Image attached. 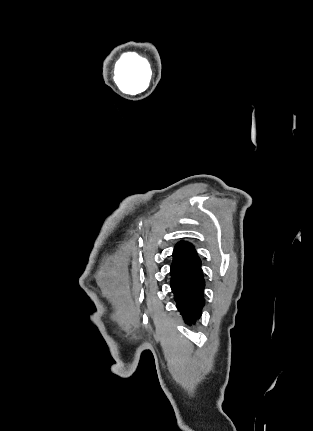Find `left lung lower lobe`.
<instances>
[{
  "label": "left lung lower lobe",
  "mask_w": 313,
  "mask_h": 431,
  "mask_svg": "<svg viewBox=\"0 0 313 431\" xmlns=\"http://www.w3.org/2000/svg\"><path fill=\"white\" fill-rule=\"evenodd\" d=\"M170 270V285L176 306L187 324H195L201 317L205 305L203 293L205 280L201 261L190 243L185 241L177 243Z\"/></svg>",
  "instance_id": "1"
}]
</instances>
